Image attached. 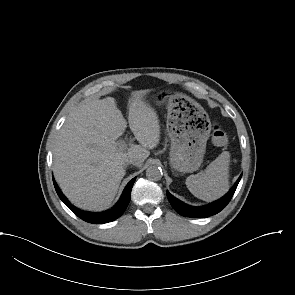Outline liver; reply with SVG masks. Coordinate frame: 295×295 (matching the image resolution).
I'll return each instance as SVG.
<instances>
[{"instance_id":"liver-1","label":"liver","mask_w":295,"mask_h":295,"mask_svg":"<svg viewBox=\"0 0 295 295\" xmlns=\"http://www.w3.org/2000/svg\"><path fill=\"white\" fill-rule=\"evenodd\" d=\"M150 90L132 93L128 122L135 139L128 151L117 147L127 122L112 97L89 101L66 119L53 152V172L59 187L76 207L101 211L113 201L126 174V158L137 155L141 163L160 140L156 111L144 101Z\"/></svg>"}]
</instances>
